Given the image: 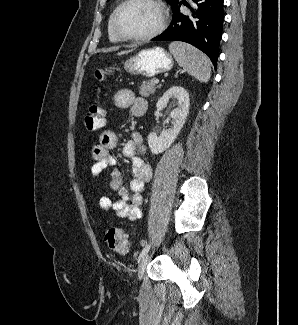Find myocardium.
<instances>
[{
    "label": "myocardium",
    "instance_id": "1",
    "mask_svg": "<svg viewBox=\"0 0 298 325\" xmlns=\"http://www.w3.org/2000/svg\"><path fill=\"white\" fill-rule=\"evenodd\" d=\"M134 3H142L147 4L150 7L154 9V11L157 14L158 22L157 25L148 33L135 37V38H128L125 37L118 29L117 27V21L118 17L121 13V11L128 5L134 4ZM165 26V13L161 5L155 1V0H126L123 3H121L115 10L112 21H111V27L114 35L117 37V39L122 43H141L145 41H149L156 37L158 34L162 32Z\"/></svg>",
    "mask_w": 298,
    "mask_h": 325
}]
</instances>
